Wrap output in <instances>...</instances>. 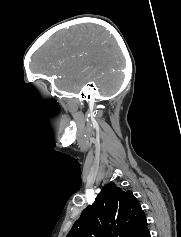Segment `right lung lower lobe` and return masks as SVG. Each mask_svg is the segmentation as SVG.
<instances>
[{"instance_id": "98d812e1", "label": "right lung lower lobe", "mask_w": 181, "mask_h": 237, "mask_svg": "<svg viewBox=\"0 0 181 237\" xmlns=\"http://www.w3.org/2000/svg\"><path fill=\"white\" fill-rule=\"evenodd\" d=\"M145 237H150V233L148 232V233L145 235Z\"/></svg>"}]
</instances>
